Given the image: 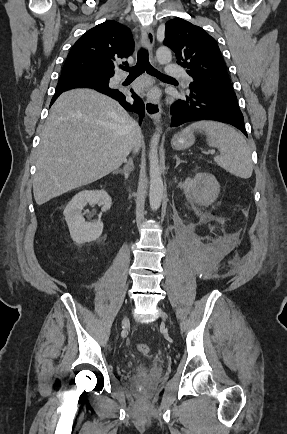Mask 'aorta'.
Here are the masks:
<instances>
[{"label":"aorta","instance_id":"1","mask_svg":"<svg viewBox=\"0 0 287 434\" xmlns=\"http://www.w3.org/2000/svg\"><path fill=\"white\" fill-rule=\"evenodd\" d=\"M156 58L160 65L167 64L171 61L172 55L170 49L167 47H159L156 51ZM160 139L159 129L153 135L150 142V152H149V164H150V190H149V203L150 208L153 211L159 209L163 193L164 186L163 180L161 176V170L159 167V159H158V144Z\"/></svg>","mask_w":287,"mask_h":434}]
</instances>
